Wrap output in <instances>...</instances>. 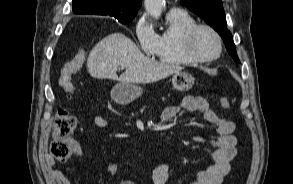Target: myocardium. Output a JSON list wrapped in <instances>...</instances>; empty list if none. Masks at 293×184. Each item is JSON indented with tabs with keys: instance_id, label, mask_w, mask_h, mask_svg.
<instances>
[{
	"instance_id": "f54148a6",
	"label": "myocardium",
	"mask_w": 293,
	"mask_h": 184,
	"mask_svg": "<svg viewBox=\"0 0 293 184\" xmlns=\"http://www.w3.org/2000/svg\"><path fill=\"white\" fill-rule=\"evenodd\" d=\"M200 30H207L215 37L218 44V51L215 55L210 57H201L194 52L193 40L195 35ZM181 48H182L183 54L193 63H207V62H212L221 56L222 50H223V42L219 33L211 26L206 24H195L189 29H187L185 33L183 34L182 41H181Z\"/></svg>"
}]
</instances>
